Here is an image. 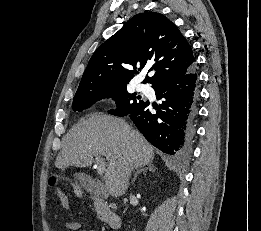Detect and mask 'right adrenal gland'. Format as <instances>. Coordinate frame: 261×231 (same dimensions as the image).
Listing matches in <instances>:
<instances>
[{
	"label": "right adrenal gland",
	"instance_id": "1",
	"mask_svg": "<svg viewBox=\"0 0 261 231\" xmlns=\"http://www.w3.org/2000/svg\"><path fill=\"white\" fill-rule=\"evenodd\" d=\"M147 170L151 171V172H155L156 171V168L153 166V164H148L145 168H141L140 170H137L134 174V178L132 180V183L135 182L138 174H140L141 172H146Z\"/></svg>",
	"mask_w": 261,
	"mask_h": 231
}]
</instances>
